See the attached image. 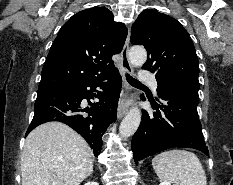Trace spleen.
<instances>
[{
  "mask_svg": "<svg viewBox=\"0 0 233 185\" xmlns=\"http://www.w3.org/2000/svg\"><path fill=\"white\" fill-rule=\"evenodd\" d=\"M152 166L162 182L173 185H207L198 157L186 150H169L155 156Z\"/></svg>",
  "mask_w": 233,
  "mask_h": 185,
  "instance_id": "1",
  "label": "spleen"
}]
</instances>
